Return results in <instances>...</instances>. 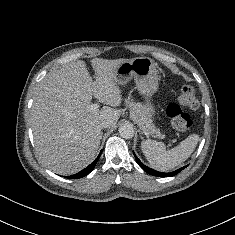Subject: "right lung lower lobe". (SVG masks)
<instances>
[{
    "label": "right lung lower lobe",
    "instance_id": "1",
    "mask_svg": "<svg viewBox=\"0 0 235 235\" xmlns=\"http://www.w3.org/2000/svg\"><path fill=\"white\" fill-rule=\"evenodd\" d=\"M101 153L102 152H100L98 157L89 166H87L85 169H83L82 171H80L77 174H74V175H71V176H67L66 178L77 179V178H82V177L86 176L87 174H89L93 170V168L95 167L97 161L100 158Z\"/></svg>",
    "mask_w": 235,
    "mask_h": 235
}]
</instances>
